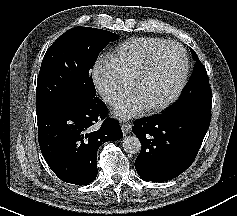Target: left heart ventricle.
Wrapping results in <instances>:
<instances>
[{"label": "left heart ventricle", "mask_w": 237, "mask_h": 216, "mask_svg": "<svg viewBox=\"0 0 237 216\" xmlns=\"http://www.w3.org/2000/svg\"><path fill=\"white\" fill-rule=\"evenodd\" d=\"M179 69L180 62H172L150 74H143L137 85L136 97L153 102L164 98L176 83Z\"/></svg>", "instance_id": "obj_1"}]
</instances>
